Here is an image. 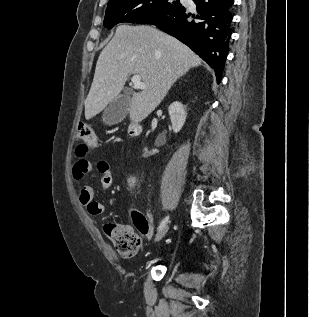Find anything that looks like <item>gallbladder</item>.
I'll use <instances>...</instances> for the list:
<instances>
[{
	"label": "gallbladder",
	"instance_id": "obj_1",
	"mask_svg": "<svg viewBox=\"0 0 309 317\" xmlns=\"http://www.w3.org/2000/svg\"><path fill=\"white\" fill-rule=\"evenodd\" d=\"M130 107L129 91L126 90L124 94L119 95L116 99L109 103L105 108L102 120L106 125H114L121 122Z\"/></svg>",
	"mask_w": 309,
	"mask_h": 317
}]
</instances>
